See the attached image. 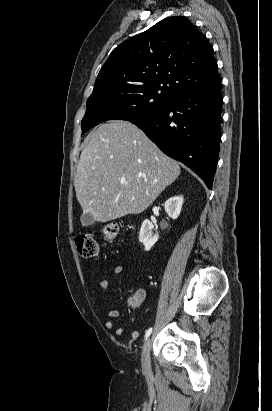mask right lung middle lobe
Listing matches in <instances>:
<instances>
[{
    "label": "right lung middle lobe",
    "instance_id": "right-lung-middle-lobe-1",
    "mask_svg": "<svg viewBox=\"0 0 272 411\" xmlns=\"http://www.w3.org/2000/svg\"><path fill=\"white\" fill-rule=\"evenodd\" d=\"M175 97L159 87H124L93 92L87 100L81 128L86 132L107 120L134 121L147 118L167 107Z\"/></svg>",
    "mask_w": 272,
    "mask_h": 411
}]
</instances>
